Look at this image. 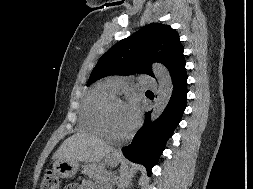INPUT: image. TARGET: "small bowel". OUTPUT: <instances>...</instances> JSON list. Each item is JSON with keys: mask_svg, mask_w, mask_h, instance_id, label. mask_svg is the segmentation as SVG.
I'll use <instances>...</instances> for the list:
<instances>
[{"mask_svg": "<svg viewBox=\"0 0 253 189\" xmlns=\"http://www.w3.org/2000/svg\"><path fill=\"white\" fill-rule=\"evenodd\" d=\"M91 184L89 182H84L80 185L78 184H72L67 187V189H90Z\"/></svg>", "mask_w": 253, "mask_h": 189, "instance_id": "c3829d8e", "label": "small bowel"}]
</instances>
